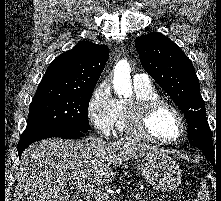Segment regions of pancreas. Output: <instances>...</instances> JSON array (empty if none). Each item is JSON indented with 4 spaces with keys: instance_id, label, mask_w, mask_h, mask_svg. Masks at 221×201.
Returning <instances> with one entry per match:
<instances>
[{
    "instance_id": "cf45deb5",
    "label": "pancreas",
    "mask_w": 221,
    "mask_h": 201,
    "mask_svg": "<svg viewBox=\"0 0 221 201\" xmlns=\"http://www.w3.org/2000/svg\"><path fill=\"white\" fill-rule=\"evenodd\" d=\"M145 199L146 200H143V201H162V199L161 198H158V197H156L155 196V194H153V193H148V194H145ZM107 201H111L110 199H108Z\"/></svg>"
}]
</instances>
